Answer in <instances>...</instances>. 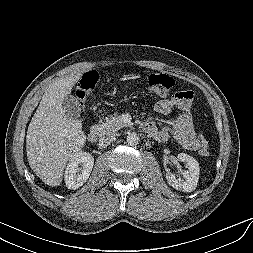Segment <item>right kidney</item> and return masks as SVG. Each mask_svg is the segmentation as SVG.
<instances>
[{
    "instance_id": "obj_1",
    "label": "right kidney",
    "mask_w": 253,
    "mask_h": 253,
    "mask_svg": "<svg viewBox=\"0 0 253 253\" xmlns=\"http://www.w3.org/2000/svg\"><path fill=\"white\" fill-rule=\"evenodd\" d=\"M81 165V167H79ZM94 165V158L86 152H78L67 164L65 183L68 189H78L89 178Z\"/></svg>"
}]
</instances>
